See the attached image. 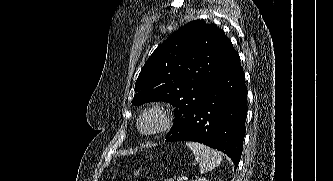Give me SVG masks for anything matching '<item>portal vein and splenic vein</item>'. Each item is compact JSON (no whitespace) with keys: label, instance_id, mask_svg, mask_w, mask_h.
Listing matches in <instances>:
<instances>
[{"label":"portal vein and splenic vein","instance_id":"18ae733b","mask_svg":"<svg viewBox=\"0 0 333 181\" xmlns=\"http://www.w3.org/2000/svg\"><path fill=\"white\" fill-rule=\"evenodd\" d=\"M184 177H178L177 181H183Z\"/></svg>","mask_w":333,"mask_h":181}]
</instances>
